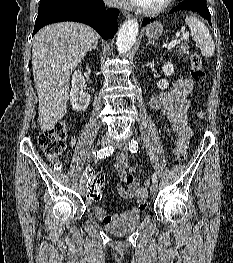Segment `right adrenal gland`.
<instances>
[{
    "label": "right adrenal gland",
    "instance_id": "1",
    "mask_svg": "<svg viewBox=\"0 0 233 263\" xmlns=\"http://www.w3.org/2000/svg\"><path fill=\"white\" fill-rule=\"evenodd\" d=\"M97 44H98V41H96V42L92 45V47L89 49V51H92L93 49H94V50H98Z\"/></svg>",
    "mask_w": 233,
    "mask_h": 263
}]
</instances>
